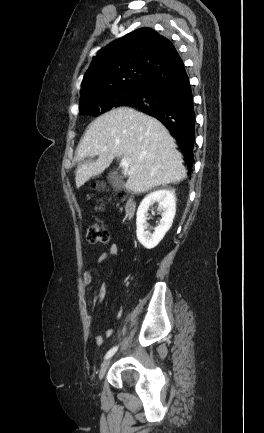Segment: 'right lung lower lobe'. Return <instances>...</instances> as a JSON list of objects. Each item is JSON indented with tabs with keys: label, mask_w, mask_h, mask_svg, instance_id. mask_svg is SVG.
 Listing matches in <instances>:
<instances>
[{
	"label": "right lung lower lobe",
	"mask_w": 264,
	"mask_h": 433,
	"mask_svg": "<svg viewBox=\"0 0 264 433\" xmlns=\"http://www.w3.org/2000/svg\"><path fill=\"white\" fill-rule=\"evenodd\" d=\"M138 94L125 101L149 114L171 132L184 153L188 169L193 166L195 112L193 95L184 64L178 53L152 72L141 84Z\"/></svg>",
	"instance_id": "98d812e1"
}]
</instances>
